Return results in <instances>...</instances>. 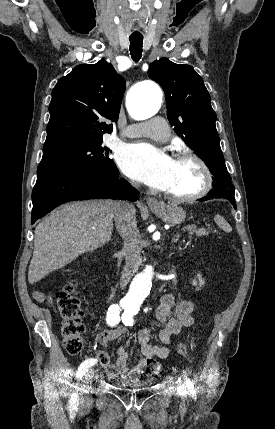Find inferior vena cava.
<instances>
[{"mask_svg": "<svg viewBox=\"0 0 275 429\" xmlns=\"http://www.w3.org/2000/svg\"><path fill=\"white\" fill-rule=\"evenodd\" d=\"M138 187V184H134ZM135 207L127 202L118 204L114 220L117 231L123 239L125 270L130 271L138 263L141 252V236L136 224Z\"/></svg>", "mask_w": 275, "mask_h": 429, "instance_id": "602c4592", "label": "inferior vena cava"}]
</instances>
